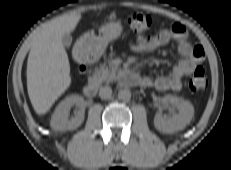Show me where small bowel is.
<instances>
[{
    "label": "small bowel",
    "instance_id": "c3829d8e",
    "mask_svg": "<svg viewBox=\"0 0 231 170\" xmlns=\"http://www.w3.org/2000/svg\"><path fill=\"white\" fill-rule=\"evenodd\" d=\"M171 40L178 43V51L182 59L176 62L167 74L161 75L154 80L143 77L139 83L144 86H154L159 91H179L183 87L184 77L192 73L203 61V48L194 46L189 42L187 30L180 23H175L156 35L139 36L131 43V49L136 53H150L160 46L168 44Z\"/></svg>",
    "mask_w": 231,
    "mask_h": 170
}]
</instances>
